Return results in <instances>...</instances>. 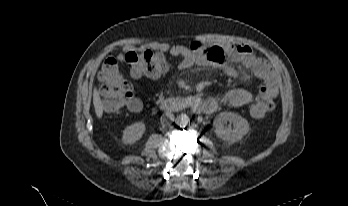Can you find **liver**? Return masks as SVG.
<instances>
[{"instance_id": "6515ba94", "label": "liver", "mask_w": 348, "mask_h": 206, "mask_svg": "<svg viewBox=\"0 0 348 206\" xmlns=\"http://www.w3.org/2000/svg\"><path fill=\"white\" fill-rule=\"evenodd\" d=\"M93 104H94L96 116L98 118H101L103 115L104 106L100 98L99 92L96 88L94 89V92H93Z\"/></svg>"}]
</instances>
